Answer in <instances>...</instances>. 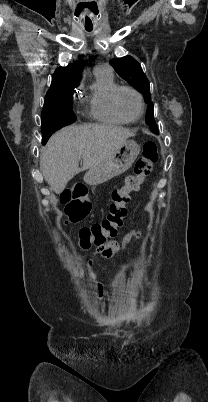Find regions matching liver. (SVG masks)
Masks as SVG:
<instances>
[{
    "label": "liver",
    "mask_w": 208,
    "mask_h": 402,
    "mask_svg": "<svg viewBox=\"0 0 208 402\" xmlns=\"http://www.w3.org/2000/svg\"><path fill=\"white\" fill-rule=\"evenodd\" d=\"M131 136L133 132L126 128L104 124L63 128L42 150L40 164L45 182L55 194H61L76 174L102 164ZM81 158L83 168H78Z\"/></svg>",
    "instance_id": "1"
}]
</instances>
